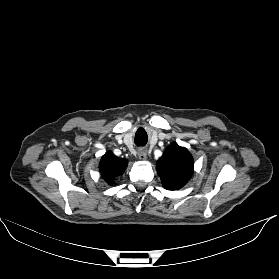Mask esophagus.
I'll list each match as a JSON object with an SVG mask.
<instances>
[{
  "instance_id": "obj_1",
  "label": "esophagus",
  "mask_w": 279,
  "mask_h": 279,
  "mask_svg": "<svg viewBox=\"0 0 279 279\" xmlns=\"http://www.w3.org/2000/svg\"><path fill=\"white\" fill-rule=\"evenodd\" d=\"M147 156H148V152L146 150H143V149H140L138 151V157L139 159L141 160H146L147 159Z\"/></svg>"
}]
</instances>
